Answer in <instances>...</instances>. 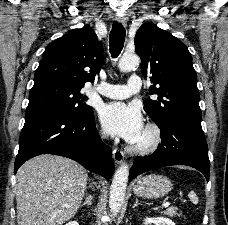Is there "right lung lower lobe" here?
<instances>
[{"mask_svg": "<svg viewBox=\"0 0 228 225\" xmlns=\"http://www.w3.org/2000/svg\"><path fill=\"white\" fill-rule=\"evenodd\" d=\"M40 154L71 158L108 180L114 171L112 150L101 142L93 110L76 114L50 107L26 112L15 173L25 161Z\"/></svg>", "mask_w": 228, "mask_h": 225, "instance_id": "98d812e1", "label": "right lung lower lobe"}]
</instances>
